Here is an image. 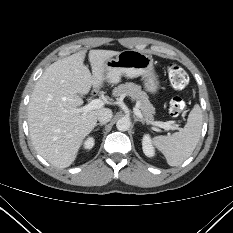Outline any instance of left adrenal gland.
<instances>
[{
	"instance_id": "1",
	"label": "left adrenal gland",
	"mask_w": 233,
	"mask_h": 233,
	"mask_svg": "<svg viewBox=\"0 0 233 233\" xmlns=\"http://www.w3.org/2000/svg\"><path fill=\"white\" fill-rule=\"evenodd\" d=\"M134 122H141L144 124V121L134 116Z\"/></svg>"
}]
</instances>
